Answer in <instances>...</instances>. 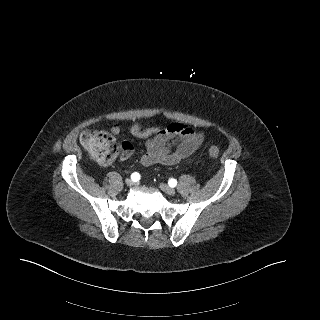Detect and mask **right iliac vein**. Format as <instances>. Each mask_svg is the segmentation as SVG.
I'll return each mask as SVG.
<instances>
[{
  "mask_svg": "<svg viewBox=\"0 0 320 320\" xmlns=\"http://www.w3.org/2000/svg\"><path fill=\"white\" fill-rule=\"evenodd\" d=\"M126 184L128 186H132V185H134V181L132 179L128 178V179H126Z\"/></svg>",
  "mask_w": 320,
  "mask_h": 320,
  "instance_id": "63e3f726",
  "label": "right iliac vein"
}]
</instances>
